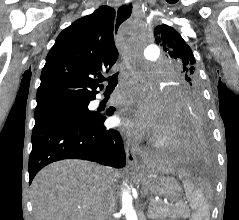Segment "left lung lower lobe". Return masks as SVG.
<instances>
[{
  "instance_id": "0a47b994",
  "label": "left lung lower lobe",
  "mask_w": 239,
  "mask_h": 220,
  "mask_svg": "<svg viewBox=\"0 0 239 220\" xmlns=\"http://www.w3.org/2000/svg\"><path fill=\"white\" fill-rule=\"evenodd\" d=\"M177 143L174 158L187 166L204 164L211 158L209 130L201 106L172 116Z\"/></svg>"
}]
</instances>
